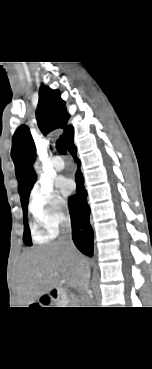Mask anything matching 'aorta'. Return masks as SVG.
Wrapping results in <instances>:
<instances>
[{"label":"aorta","instance_id":"1","mask_svg":"<svg viewBox=\"0 0 152 369\" xmlns=\"http://www.w3.org/2000/svg\"><path fill=\"white\" fill-rule=\"evenodd\" d=\"M35 170L37 171V172H39L40 171V167L38 166V164H35Z\"/></svg>","mask_w":152,"mask_h":369}]
</instances>
